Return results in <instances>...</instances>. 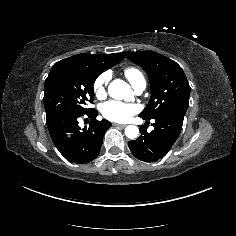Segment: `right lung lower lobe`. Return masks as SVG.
<instances>
[{
    "mask_svg": "<svg viewBox=\"0 0 236 236\" xmlns=\"http://www.w3.org/2000/svg\"><path fill=\"white\" fill-rule=\"evenodd\" d=\"M96 116L97 111L91 108L82 115L61 113L46 118L53 143L68 161L85 164L98 156L103 136L112 124L105 119L97 121ZM80 117L90 119L89 128H80Z\"/></svg>",
    "mask_w": 236,
    "mask_h": 236,
    "instance_id": "right-lung-lower-lobe-1",
    "label": "right lung lower lobe"
}]
</instances>
